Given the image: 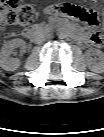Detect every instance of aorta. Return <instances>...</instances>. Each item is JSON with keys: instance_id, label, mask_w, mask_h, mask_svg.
Wrapping results in <instances>:
<instances>
[{"instance_id": "obj_1", "label": "aorta", "mask_w": 104, "mask_h": 137, "mask_svg": "<svg viewBox=\"0 0 104 137\" xmlns=\"http://www.w3.org/2000/svg\"><path fill=\"white\" fill-rule=\"evenodd\" d=\"M60 38H66L67 37V31L65 29H61L59 31Z\"/></svg>"}]
</instances>
